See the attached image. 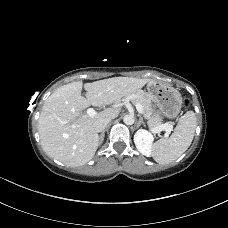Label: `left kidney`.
<instances>
[{
  "label": "left kidney",
  "mask_w": 228,
  "mask_h": 228,
  "mask_svg": "<svg viewBox=\"0 0 228 228\" xmlns=\"http://www.w3.org/2000/svg\"><path fill=\"white\" fill-rule=\"evenodd\" d=\"M153 140V135L145 129H139L134 135L136 148L141 154L147 157L151 156Z\"/></svg>",
  "instance_id": "5707ae66"
}]
</instances>
